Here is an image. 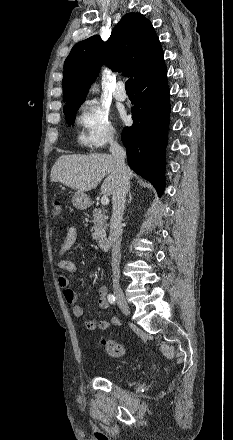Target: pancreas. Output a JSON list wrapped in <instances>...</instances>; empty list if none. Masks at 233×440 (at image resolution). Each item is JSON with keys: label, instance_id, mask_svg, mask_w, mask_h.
<instances>
[{"label": "pancreas", "instance_id": "pancreas-1", "mask_svg": "<svg viewBox=\"0 0 233 440\" xmlns=\"http://www.w3.org/2000/svg\"><path fill=\"white\" fill-rule=\"evenodd\" d=\"M93 223L92 227V238L96 241H99L106 236V228H107V216L105 215V211L99 208L94 209L93 211Z\"/></svg>", "mask_w": 233, "mask_h": 440}]
</instances>
